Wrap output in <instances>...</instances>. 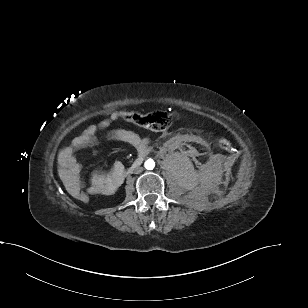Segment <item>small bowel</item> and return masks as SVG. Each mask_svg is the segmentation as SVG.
<instances>
[{
    "mask_svg": "<svg viewBox=\"0 0 308 308\" xmlns=\"http://www.w3.org/2000/svg\"><path fill=\"white\" fill-rule=\"evenodd\" d=\"M119 117L120 114L118 112H113L108 118L101 120L98 124L89 125L79 136L72 140L70 145L60 150L58 162L67 190L72 196L84 189L90 195H110L122 183L124 179V165L121 162H116L107 173L95 172L91 177L90 184L84 188L80 177L81 165L74 155V151L77 148L94 144L97 130L108 128ZM109 136L114 140L124 142L139 150L144 149L148 144L147 138H143L127 129H114L110 131Z\"/></svg>",
    "mask_w": 308,
    "mask_h": 308,
    "instance_id": "c3829d8e",
    "label": "small bowel"
}]
</instances>
